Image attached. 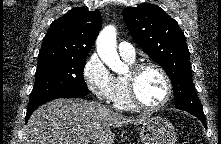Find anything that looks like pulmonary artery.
Returning a JSON list of instances; mask_svg holds the SVG:
<instances>
[{"instance_id":"pulmonary-artery-1","label":"pulmonary artery","mask_w":221,"mask_h":144,"mask_svg":"<svg viewBox=\"0 0 221 144\" xmlns=\"http://www.w3.org/2000/svg\"><path fill=\"white\" fill-rule=\"evenodd\" d=\"M118 51L122 58L134 61L136 57L134 47L128 42H120L118 45Z\"/></svg>"}]
</instances>
